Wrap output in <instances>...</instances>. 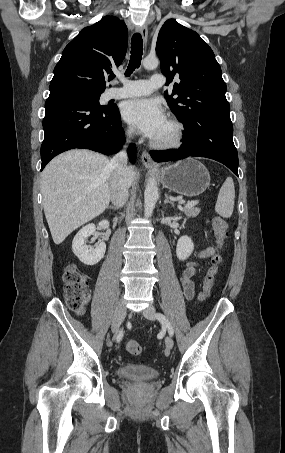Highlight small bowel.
Wrapping results in <instances>:
<instances>
[{
  "label": "small bowel",
  "instance_id": "c3829d8e",
  "mask_svg": "<svg viewBox=\"0 0 285 453\" xmlns=\"http://www.w3.org/2000/svg\"><path fill=\"white\" fill-rule=\"evenodd\" d=\"M215 253L214 247H206L202 249L197 254V259H205L212 256ZM198 263L196 261H191L186 263L183 266L180 283L182 286V290L186 299L190 300L193 298L195 293V284L193 281V277L197 271Z\"/></svg>",
  "mask_w": 285,
  "mask_h": 453
}]
</instances>
